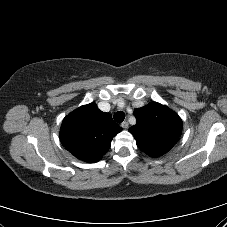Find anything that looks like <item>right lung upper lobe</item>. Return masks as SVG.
Listing matches in <instances>:
<instances>
[{
    "label": "right lung upper lobe",
    "mask_w": 227,
    "mask_h": 227,
    "mask_svg": "<svg viewBox=\"0 0 227 227\" xmlns=\"http://www.w3.org/2000/svg\"><path fill=\"white\" fill-rule=\"evenodd\" d=\"M122 128L93 102L83 105L62 122L60 141L79 160L94 163L107 153L111 141Z\"/></svg>",
    "instance_id": "right-lung-upper-lobe-1"
}]
</instances>
